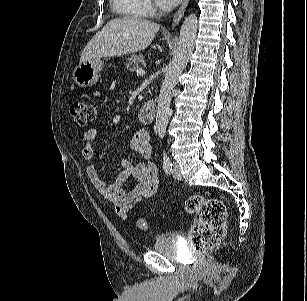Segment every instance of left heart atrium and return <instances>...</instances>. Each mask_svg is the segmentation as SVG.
Instances as JSON below:
<instances>
[{"label": "left heart atrium", "instance_id": "left-heart-atrium-1", "mask_svg": "<svg viewBox=\"0 0 307 301\" xmlns=\"http://www.w3.org/2000/svg\"><path fill=\"white\" fill-rule=\"evenodd\" d=\"M181 0H156L157 4L164 8V9H170L179 4Z\"/></svg>", "mask_w": 307, "mask_h": 301}]
</instances>
